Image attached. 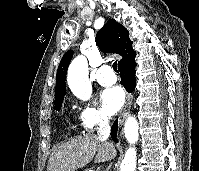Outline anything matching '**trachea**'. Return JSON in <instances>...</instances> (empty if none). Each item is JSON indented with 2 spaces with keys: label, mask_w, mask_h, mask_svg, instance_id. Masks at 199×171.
I'll list each match as a JSON object with an SVG mask.
<instances>
[{
  "label": "trachea",
  "mask_w": 199,
  "mask_h": 171,
  "mask_svg": "<svg viewBox=\"0 0 199 171\" xmlns=\"http://www.w3.org/2000/svg\"><path fill=\"white\" fill-rule=\"evenodd\" d=\"M112 67H113L115 72H118L117 61L113 63Z\"/></svg>",
  "instance_id": "obj_1"
}]
</instances>
